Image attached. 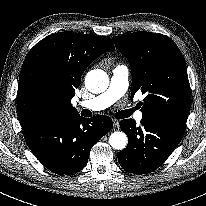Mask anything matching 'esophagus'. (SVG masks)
I'll return each mask as SVG.
<instances>
[{
  "label": "esophagus",
  "instance_id": "1",
  "mask_svg": "<svg viewBox=\"0 0 206 206\" xmlns=\"http://www.w3.org/2000/svg\"><path fill=\"white\" fill-rule=\"evenodd\" d=\"M113 125H114V127L118 128L119 127V121L117 119H113Z\"/></svg>",
  "mask_w": 206,
  "mask_h": 206
}]
</instances>
